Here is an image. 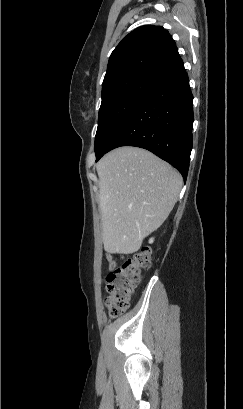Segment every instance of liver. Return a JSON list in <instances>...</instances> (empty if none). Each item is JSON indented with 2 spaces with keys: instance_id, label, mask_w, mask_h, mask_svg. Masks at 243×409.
I'll list each match as a JSON object with an SVG mask.
<instances>
[{
  "instance_id": "liver-1",
  "label": "liver",
  "mask_w": 243,
  "mask_h": 409,
  "mask_svg": "<svg viewBox=\"0 0 243 409\" xmlns=\"http://www.w3.org/2000/svg\"><path fill=\"white\" fill-rule=\"evenodd\" d=\"M104 249L137 252L172 211L183 179L167 162L137 147H120L97 164Z\"/></svg>"
}]
</instances>
